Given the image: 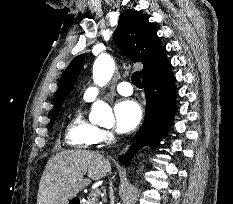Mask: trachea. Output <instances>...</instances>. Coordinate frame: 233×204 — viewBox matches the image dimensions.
<instances>
[{
	"label": "trachea",
	"instance_id": "trachea-1",
	"mask_svg": "<svg viewBox=\"0 0 233 204\" xmlns=\"http://www.w3.org/2000/svg\"><path fill=\"white\" fill-rule=\"evenodd\" d=\"M131 80L132 83L138 87V88H142V83H141V79H140V73L138 71L134 72L131 76Z\"/></svg>",
	"mask_w": 233,
	"mask_h": 204
}]
</instances>
